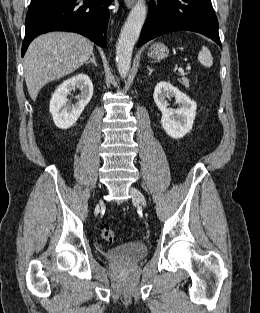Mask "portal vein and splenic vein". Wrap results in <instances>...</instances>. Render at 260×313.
I'll return each mask as SVG.
<instances>
[{"label": "portal vein and splenic vein", "mask_w": 260, "mask_h": 313, "mask_svg": "<svg viewBox=\"0 0 260 313\" xmlns=\"http://www.w3.org/2000/svg\"><path fill=\"white\" fill-rule=\"evenodd\" d=\"M188 70L191 69V67H187ZM178 72L180 73V75H184V70L183 69H179Z\"/></svg>", "instance_id": "1"}]
</instances>
